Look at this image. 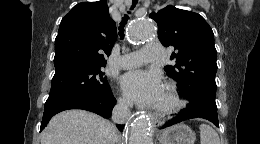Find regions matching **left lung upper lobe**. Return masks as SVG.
Listing matches in <instances>:
<instances>
[{
	"instance_id": "obj_1",
	"label": "left lung upper lobe",
	"mask_w": 260,
	"mask_h": 144,
	"mask_svg": "<svg viewBox=\"0 0 260 144\" xmlns=\"http://www.w3.org/2000/svg\"><path fill=\"white\" fill-rule=\"evenodd\" d=\"M150 17L158 24V37L165 46L175 47L170 59L175 65L164 68L179 83V94L189 100L183 110L215 106L217 71L214 34L204 18L194 12L167 6Z\"/></svg>"
}]
</instances>
